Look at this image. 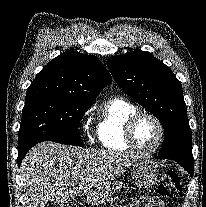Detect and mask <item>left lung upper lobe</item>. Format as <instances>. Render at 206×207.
<instances>
[{"label": "left lung upper lobe", "mask_w": 206, "mask_h": 207, "mask_svg": "<svg viewBox=\"0 0 206 207\" xmlns=\"http://www.w3.org/2000/svg\"><path fill=\"white\" fill-rule=\"evenodd\" d=\"M107 65L117 84L162 124L165 140L158 156L193 165L182 85L171 69L144 51L112 56Z\"/></svg>", "instance_id": "5c2ea615"}]
</instances>
